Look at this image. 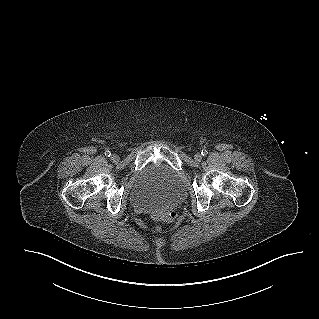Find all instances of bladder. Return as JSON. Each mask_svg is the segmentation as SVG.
Segmentation results:
<instances>
[{"label": "bladder", "mask_w": 319, "mask_h": 319, "mask_svg": "<svg viewBox=\"0 0 319 319\" xmlns=\"http://www.w3.org/2000/svg\"><path fill=\"white\" fill-rule=\"evenodd\" d=\"M184 193L179 174L165 163L153 162L137 176L129 200L137 208L154 209L179 202Z\"/></svg>", "instance_id": "bladder-1"}]
</instances>
